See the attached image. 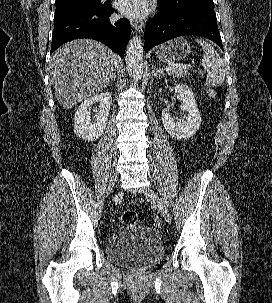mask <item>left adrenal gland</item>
I'll return each instance as SVG.
<instances>
[{"label":"left adrenal gland","instance_id":"1","mask_svg":"<svg viewBox=\"0 0 272 303\" xmlns=\"http://www.w3.org/2000/svg\"><path fill=\"white\" fill-rule=\"evenodd\" d=\"M152 75L154 77H163V76H165L164 73H162L159 69H156V68H153Z\"/></svg>","mask_w":272,"mask_h":303}]
</instances>
